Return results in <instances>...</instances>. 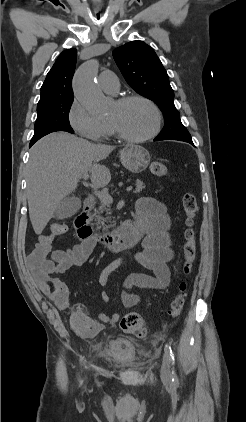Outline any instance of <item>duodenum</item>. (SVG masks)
I'll list each match as a JSON object with an SVG mask.
<instances>
[{
    "label": "duodenum",
    "mask_w": 246,
    "mask_h": 422,
    "mask_svg": "<svg viewBox=\"0 0 246 422\" xmlns=\"http://www.w3.org/2000/svg\"><path fill=\"white\" fill-rule=\"evenodd\" d=\"M95 206V199L87 197L83 210L74 220V227L82 241L93 240L111 252H118L133 247L142 237V229L136 219L124 222L120 227L105 234H97L90 224V212Z\"/></svg>",
    "instance_id": "obj_1"
}]
</instances>
